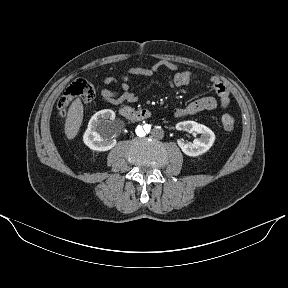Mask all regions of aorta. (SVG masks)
<instances>
[{
    "mask_svg": "<svg viewBox=\"0 0 288 288\" xmlns=\"http://www.w3.org/2000/svg\"><path fill=\"white\" fill-rule=\"evenodd\" d=\"M151 125L148 122H141L136 126V133L139 136H146L150 133Z\"/></svg>",
    "mask_w": 288,
    "mask_h": 288,
    "instance_id": "obj_1",
    "label": "aorta"
}]
</instances>
